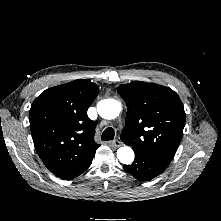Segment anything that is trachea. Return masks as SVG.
I'll list each match as a JSON object with an SVG mask.
<instances>
[{"label":"trachea","instance_id":"3493384b","mask_svg":"<svg viewBox=\"0 0 221 221\" xmlns=\"http://www.w3.org/2000/svg\"><path fill=\"white\" fill-rule=\"evenodd\" d=\"M114 129L112 127L106 128L102 133V140L103 141H109L114 139Z\"/></svg>","mask_w":221,"mask_h":221}]
</instances>
